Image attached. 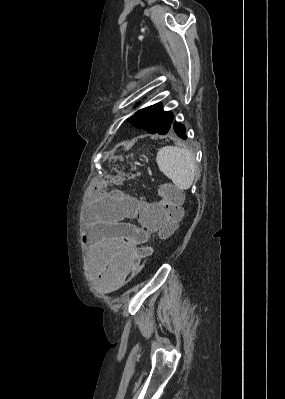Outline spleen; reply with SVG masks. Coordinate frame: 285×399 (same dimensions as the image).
Wrapping results in <instances>:
<instances>
[{
  "label": "spleen",
  "instance_id": "spleen-1",
  "mask_svg": "<svg viewBox=\"0 0 285 399\" xmlns=\"http://www.w3.org/2000/svg\"><path fill=\"white\" fill-rule=\"evenodd\" d=\"M159 169L181 190L191 187L196 164L191 151L178 146H165L157 153Z\"/></svg>",
  "mask_w": 285,
  "mask_h": 399
}]
</instances>
